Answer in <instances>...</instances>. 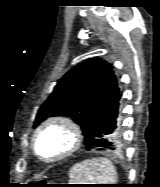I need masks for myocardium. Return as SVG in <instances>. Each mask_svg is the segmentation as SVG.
<instances>
[{"instance_id":"f54148a6","label":"myocardium","mask_w":160,"mask_h":187,"mask_svg":"<svg viewBox=\"0 0 160 187\" xmlns=\"http://www.w3.org/2000/svg\"><path fill=\"white\" fill-rule=\"evenodd\" d=\"M54 126L65 129L71 138V142L66 150L62 151L61 153L57 154L54 157L46 158L38 152V142L42 133L46 129ZM82 140H83L82 130L75 121H73L72 119L66 116H53L44 120L35 130L32 137V151L34 152V154L39 160L45 163H54L76 152L81 146Z\"/></svg>"}]
</instances>
